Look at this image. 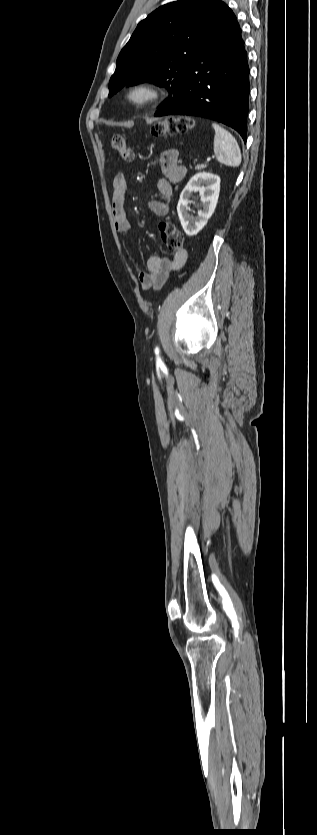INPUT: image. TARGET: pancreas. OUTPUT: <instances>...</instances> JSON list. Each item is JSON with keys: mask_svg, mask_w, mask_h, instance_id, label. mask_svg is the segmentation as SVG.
<instances>
[{"mask_svg": "<svg viewBox=\"0 0 317 835\" xmlns=\"http://www.w3.org/2000/svg\"><path fill=\"white\" fill-rule=\"evenodd\" d=\"M206 167H207V164H201V165H197V166H196V169H197V170H201V169H204V168H206Z\"/></svg>", "mask_w": 317, "mask_h": 835, "instance_id": "pancreas-1", "label": "pancreas"}]
</instances>
